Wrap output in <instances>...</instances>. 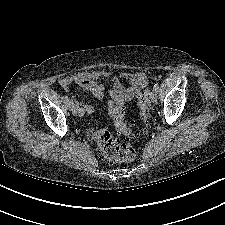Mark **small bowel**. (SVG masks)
Listing matches in <instances>:
<instances>
[{
    "label": "small bowel",
    "instance_id": "small-bowel-1",
    "mask_svg": "<svg viewBox=\"0 0 225 225\" xmlns=\"http://www.w3.org/2000/svg\"><path fill=\"white\" fill-rule=\"evenodd\" d=\"M122 80L128 82V85L124 86L121 83ZM107 81L112 82V87L108 90V110L113 107H123L147 85V77L144 72H123L118 75L104 70L72 73L61 78L59 85L67 89L70 85L76 84L97 99H101L104 96ZM81 106V116L89 115L92 112L89 105L81 104Z\"/></svg>",
    "mask_w": 225,
    "mask_h": 225
}]
</instances>
